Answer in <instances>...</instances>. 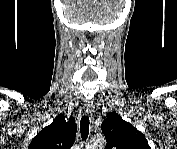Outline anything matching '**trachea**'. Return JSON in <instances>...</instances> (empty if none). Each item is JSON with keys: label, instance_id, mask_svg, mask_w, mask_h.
<instances>
[{"label": "trachea", "instance_id": "obj_1", "mask_svg": "<svg viewBox=\"0 0 177 149\" xmlns=\"http://www.w3.org/2000/svg\"><path fill=\"white\" fill-rule=\"evenodd\" d=\"M89 117L87 115L82 116L80 121V133L83 140H86L89 134Z\"/></svg>", "mask_w": 177, "mask_h": 149}]
</instances>
